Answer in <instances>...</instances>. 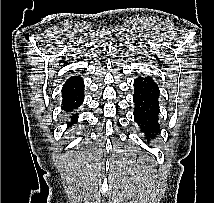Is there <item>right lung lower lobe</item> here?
<instances>
[{"label": "right lung lower lobe", "mask_w": 214, "mask_h": 203, "mask_svg": "<svg viewBox=\"0 0 214 203\" xmlns=\"http://www.w3.org/2000/svg\"><path fill=\"white\" fill-rule=\"evenodd\" d=\"M84 81L79 76L70 77L62 88V109L72 112L77 109L84 100ZM77 113L72 115V122H77Z\"/></svg>", "instance_id": "98d812e1"}]
</instances>
